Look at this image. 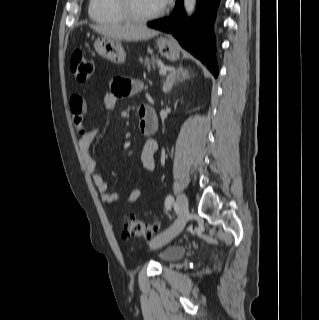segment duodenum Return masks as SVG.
I'll list each match as a JSON object with an SVG mask.
<instances>
[{"label":"duodenum","mask_w":319,"mask_h":320,"mask_svg":"<svg viewBox=\"0 0 319 320\" xmlns=\"http://www.w3.org/2000/svg\"><path fill=\"white\" fill-rule=\"evenodd\" d=\"M140 129L145 134H152L158 130V117L156 110L145 106L139 111Z\"/></svg>","instance_id":"obj_1"}]
</instances>
